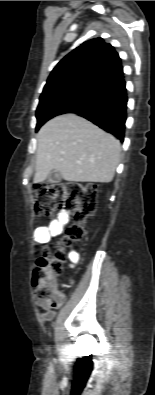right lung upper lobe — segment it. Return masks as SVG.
<instances>
[{"label": "right lung upper lobe", "mask_w": 155, "mask_h": 395, "mask_svg": "<svg viewBox=\"0 0 155 395\" xmlns=\"http://www.w3.org/2000/svg\"><path fill=\"white\" fill-rule=\"evenodd\" d=\"M123 73L121 59L102 38L84 42L66 55L52 70L44 88L71 81L104 85Z\"/></svg>", "instance_id": "right-lung-upper-lobe-1"}]
</instances>
